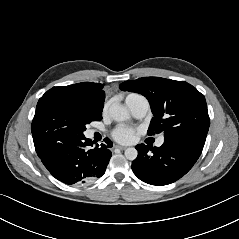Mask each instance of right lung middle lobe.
<instances>
[{
	"label": "right lung middle lobe",
	"instance_id": "right-lung-middle-lobe-1",
	"mask_svg": "<svg viewBox=\"0 0 239 239\" xmlns=\"http://www.w3.org/2000/svg\"><path fill=\"white\" fill-rule=\"evenodd\" d=\"M102 107L64 91H47L38 101L31 131L36 151L68 135H83L102 119Z\"/></svg>",
	"mask_w": 239,
	"mask_h": 239
}]
</instances>
